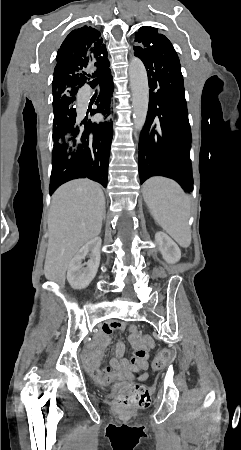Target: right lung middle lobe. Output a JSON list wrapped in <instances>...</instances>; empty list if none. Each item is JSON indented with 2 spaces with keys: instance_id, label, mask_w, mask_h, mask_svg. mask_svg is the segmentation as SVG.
Here are the masks:
<instances>
[{
  "instance_id": "dd1d6c3e",
  "label": "right lung middle lobe",
  "mask_w": 241,
  "mask_h": 450,
  "mask_svg": "<svg viewBox=\"0 0 241 450\" xmlns=\"http://www.w3.org/2000/svg\"><path fill=\"white\" fill-rule=\"evenodd\" d=\"M75 98H72L71 96L68 98H65L60 101H53V112H54V120L53 124L63 115L65 114H71L72 112H76L75 109ZM53 139L54 141L58 142H72L73 137L71 135H63L58 134L53 130Z\"/></svg>"
}]
</instances>
